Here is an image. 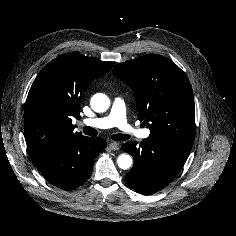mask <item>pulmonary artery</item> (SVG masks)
Wrapping results in <instances>:
<instances>
[{
  "instance_id": "obj_1",
  "label": "pulmonary artery",
  "mask_w": 236,
  "mask_h": 236,
  "mask_svg": "<svg viewBox=\"0 0 236 236\" xmlns=\"http://www.w3.org/2000/svg\"><path fill=\"white\" fill-rule=\"evenodd\" d=\"M83 123L87 126L99 129H108L118 127L127 133L137 136L141 139H146L150 136V131L147 129H136L130 125L126 118V104L120 97L115 98L112 103L109 113L104 117L86 119Z\"/></svg>"
}]
</instances>
